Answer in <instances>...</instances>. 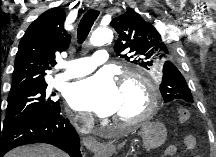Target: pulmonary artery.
<instances>
[{"label":"pulmonary artery","instance_id":"1","mask_svg":"<svg viewBox=\"0 0 216 157\" xmlns=\"http://www.w3.org/2000/svg\"><path fill=\"white\" fill-rule=\"evenodd\" d=\"M109 54L106 50H97L93 55L71 60L63 65L65 71L55 75L56 81H66L91 73L98 66L108 61Z\"/></svg>","mask_w":216,"mask_h":157}]
</instances>
